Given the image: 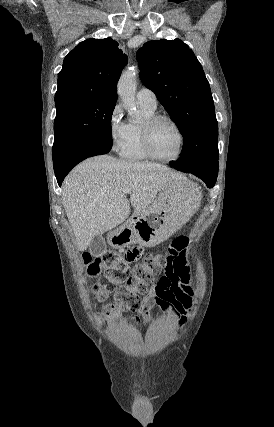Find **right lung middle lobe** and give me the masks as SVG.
<instances>
[{"instance_id": "right-lung-middle-lobe-1", "label": "right lung middle lobe", "mask_w": 274, "mask_h": 427, "mask_svg": "<svg viewBox=\"0 0 274 427\" xmlns=\"http://www.w3.org/2000/svg\"><path fill=\"white\" fill-rule=\"evenodd\" d=\"M117 97H89L56 105L54 168L94 144H111V116Z\"/></svg>"}]
</instances>
